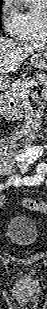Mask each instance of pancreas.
I'll return each instance as SVG.
<instances>
[{
	"instance_id": "pancreas-1",
	"label": "pancreas",
	"mask_w": 47,
	"mask_h": 309,
	"mask_svg": "<svg viewBox=\"0 0 47 309\" xmlns=\"http://www.w3.org/2000/svg\"><path fill=\"white\" fill-rule=\"evenodd\" d=\"M26 75H23V79H19L17 81H15L11 87H10V92L16 94L19 96L20 101H24V104L20 105V108L15 110L13 112V120H18V121H26L25 125L23 126V128H31L33 127V120H32V116H33V112L30 109H27V104L26 101L28 99H24L21 96V93H26L27 90H29V87H25V84H30L32 82H35L40 85H47V75L45 73H37L35 74L34 77H27L25 78ZM31 119V121L29 122L28 119Z\"/></svg>"
}]
</instances>
